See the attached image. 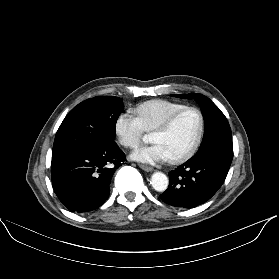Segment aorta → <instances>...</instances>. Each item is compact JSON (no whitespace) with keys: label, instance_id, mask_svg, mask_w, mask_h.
I'll list each match as a JSON object with an SVG mask.
<instances>
[{"label":"aorta","instance_id":"762f6f07","mask_svg":"<svg viewBox=\"0 0 279 279\" xmlns=\"http://www.w3.org/2000/svg\"><path fill=\"white\" fill-rule=\"evenodd\" d=\"M150 183L154 190L158 192H163L167 189L169 181L167 176L164 173L155 172L151 176Z\"/></svg>","mask_w":279,"mask_h":279}]
</instances>
